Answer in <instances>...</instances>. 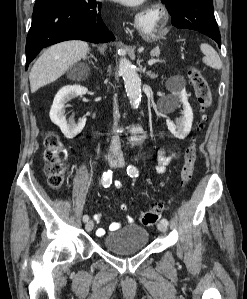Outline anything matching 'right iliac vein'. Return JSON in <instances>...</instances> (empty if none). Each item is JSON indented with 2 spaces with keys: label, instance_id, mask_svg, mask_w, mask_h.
<instances>
[{
  "label": "right iliac vein",
  "instance_id": "1",
  "mask_svg": "<svg viewBox=\"0 0 247 299\" xmlns=\"http://www.w3.org/2000/svg\"><path fill=\"white\" fill-rule=\"evenodd\" d=\"M108 163L110 166H114L117 163V156L114 154H110L108 156ZM94 227V222L92 220L87 221L86 225H85V229L90 232Z\"/></svg>",
  "mask_w": 247,
  "mask_h": 299
}]
</instances>
